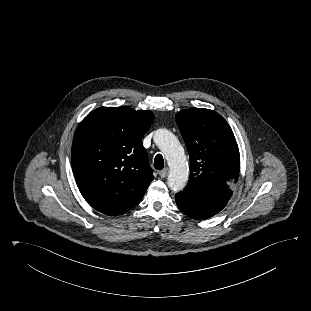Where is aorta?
<instances>
[{"label": "aorta", "mask_w": 311, "mask_h": 311, "mask_svg": "<svg viewBox=\"0 0 311 311\" xmlns=\"http://www.w3.org/2000/svg\"><path fill=\"white\" fill-rule=\"evenodd\" d=\"M154 142L163 152L170 173L168 187L174 192L183 190L189 178V168L186 155L177 137L167 129H158L154 134Z\"/></svg>", "instance_id": "762f6f07"}]
</instances>
